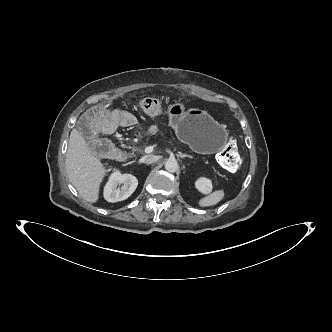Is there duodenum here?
Wrapping results in <instances>:
<instances>
[{
	"instance_id": "410a0bca",
	"label": "duodenum",
	"mask_w": 332,
	"mask_h": 332,
	"mask_svg": "<svg viewBox=\"0 0 332 332\" xmlns=\"http://www.w3.org/2000/svg\"><path fill=\"white\" fill-rule=\"evenodd\" d=\"M128 159H129V156H128L127 154H120V155H119V160H120L121 162H127Z\"/></svg>"
}]
</instances>
